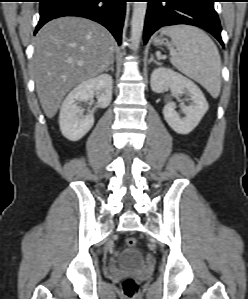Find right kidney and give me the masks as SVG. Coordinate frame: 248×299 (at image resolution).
<instances>
[{"label":"right kidney","instance_id":"ca27d5eb","mask_svg":"<svg viewBox=\"0 0 248 299\" xmlns=\"http://www.w3.org/2000/svg\"><path fill=\"white\" fill-rule=\"evenodd\" d=\"M112 87V77L108 74H101L83 81L67 95L59 115L60 130L67 139L80 140L94 124L93 113L89 112L82 117L78 103L90 101L96 95L98 106L105 108L112 100Z\"/></svg>","mask_w":248,"mask_h":299}]
</instances>
